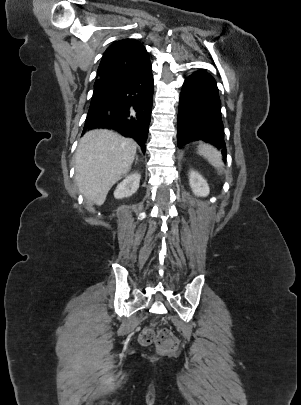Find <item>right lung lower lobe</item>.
Returning a JSON list of instances; mask_svg holds the SVG:
<instances>
[{"label": "right lung lower lobe", "mask_w": 301, "mask_h": 405, "mask_svg": "<svg viewBox=\"0 0 301 405\" xmlns=\"http://www.w3.org/2000/svg\"><path fill=\"white\" fill-rule=\"evenodd\" d=\"M153 89L152 67L148 59L103 100L90 106L83 133L91 129H113L133 138L145 152Z\"/></svg>", "instance_id": "1"}]
</instances>
